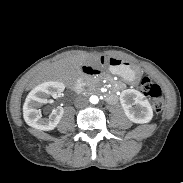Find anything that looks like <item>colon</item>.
<instances>
[{
	"instance_id": "colon-1",
	"label": "colon",
	"mask_w": 183,
	"mask_h": 183,
	"mask_svg": "<svg viewBox=\"0 0 183 183\" xmlns=\"http://www.w3.org/2000/svg\"><path fill=\"white\" fill-rule=\"evenodd\" d=\"M141 91L145 96L150 98L154 112L160 113L164 107L161 87L149 77H144L141 81Z\"/></svg>"
}]
</instances>
